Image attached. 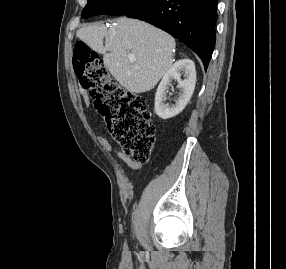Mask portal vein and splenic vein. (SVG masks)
<instances>
[{"label":"portal vein and splenic vein","instance_id":"1","mask_svg":"<svg viewBox=\"0 0 286 269\" xmlns=\"http://www.w3.org/2000/svg\"><path fill=\"white\" fill-rule=\"evenodd\" d=\"M128 59L129 61L131 62H134L135 61V57L133 55H128Z\"/></svg>","mask_w":286,"mask_h":269}]
</instances>
